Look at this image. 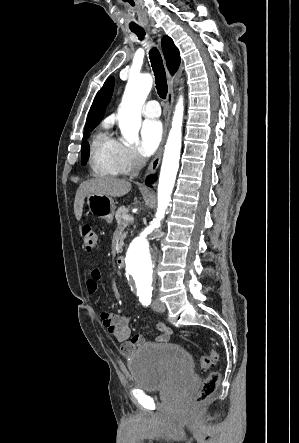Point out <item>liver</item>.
I'll list each match as a JSON object with an SVG mask.
<instances>
[{"mask_svg": "<svg viewBox=\"0 0 299 443\" xmlns=\"http://www.w3.org/2000/svg\"><path fill=\"white\" fill-rule=\"evenodd\" d=\"M131 190V183L119 178H95L82 182L77 189L74 201V214L79 221L83 213L84 200L88 195H105L109 197H122Z\"/></svg>", "mask_w": 299, "mask_h": 443, "instance_id": "obj_1", "label": "liver"}]
</instances>
